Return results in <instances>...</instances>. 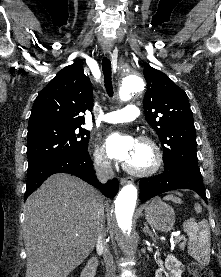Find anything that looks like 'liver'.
Wrapping results in <instances>:
<instances>
[{
  "mask_svg": "<svg viewBox=\"0 0 221 277\" xmlns=\"http://www.w3.org/2000/svg\"><path fill=\"white\" fill-rule=\"evenodd\" d=\"M97 190L79 178L50 176L25 203L26 277H67L93 251Z\"/></svg>",
  "mask_w": 221,
  "mask_h": 277,
  "instance_id": "obj_1",
  "label": "liver"
}]
</instances>
